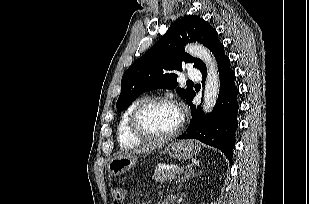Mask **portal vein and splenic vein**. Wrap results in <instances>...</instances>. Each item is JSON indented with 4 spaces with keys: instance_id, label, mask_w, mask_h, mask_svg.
<instances>
[{
    "instance_id": "portal-vein-and-splenic-vein-1",
    "label": "portal vein and splenic vein",
    "mask_w": 309,
    "mask_h": 204,
    "mask_svg": "<svg viewBox=\"0 0 309 204\" xmlns=\"http://www.w3.org/2000/svg\"><path fill=\"white\" fill-rule=\"evenodd\" d=\"M183 170H184V168H183V167L179 168V172H182Z\"/></svg>"
}]
</instances>
